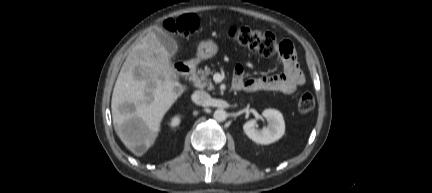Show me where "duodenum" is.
Listing matches in <instances>:
<instances>
[{
	"label": "duodenum",
	"mask_w": 432,
	"mask_h": 193,
	"mask_svg": "<svg viewBox=\"0 0 432 193\" xmlns=\"http://www.w3.org/2000/svg\"><path fill=\"white\" fill-rule=\"evenodd\" d=\"M195 67H196V61L195 60H188L184 62H180L176 64V71L181 76H192L195 73ZM235 89H240L239 86L234 85Z\"/></svg>",
	"instance_id": "410a0bca"
}]
</instances>
